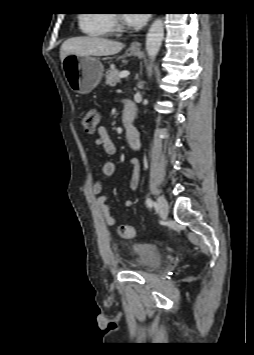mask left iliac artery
<instances>
[{
    "label": "left iliac artery",
    "instance_id": "44dca946",
    "mask_svg": "<svg viewBox=\"0 0 254 355\" xmlns=\"http://www.w3.org/2000/svg\"><path fill=\"white\" fill-rule=\"evenodd\" d=\"M146 204H147V206L148 207H152L153 206V201L150 199V198H148L147 200H146Z\"/></svg>",
    "mask_w": 254,
    "mask_h": 355
}]
</instances>
